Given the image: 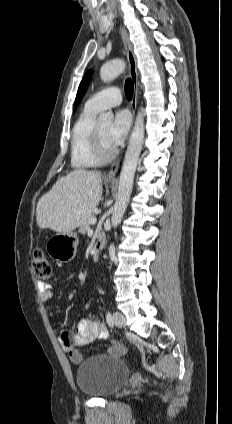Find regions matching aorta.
I'll list each match as a JSON object with an SVG mask.
<instances>
[{
  "instance_id": "1",
  "label": "aorta",
  "mask_w": 232,
  "mask_h": 424,
  "mask_svg": "<svg viewBox=\"0 0 232 424\" xmlns=\"http://www.w3.org/2000/svg\"><path fill=\"white\" fill-rule=\"evenodd\" d=\"M125 62L115 59L104 64L100 69V77L103 82H110L119 76L125 69ZM114 119L112 112L102 113L98 117L101 124L111 123ZM144 115L139 111L136 116L134 128L125 153L120 178L117 200L113 207L111 224L116 227L122 220L133 188L134 175L139 161L144 140Z\"/></svg>"
}]
</instances>
